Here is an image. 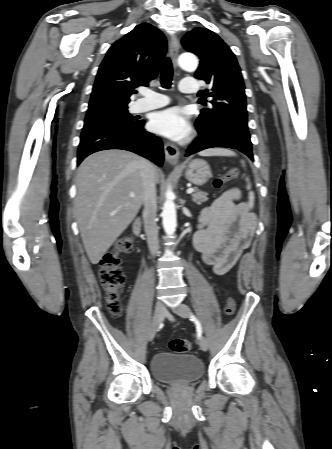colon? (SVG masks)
I'll list each match as a JSON object with an SVG mask.
<instances>
[{
    "label": "colon",
    "instance_id": "colon-1",
    "mask_svg": "<svg viewBox=\"0 0 332 449\" xmlns=\"http://www.w3.org/2000/svg\"><path fill=\"white\" fill-rule=\"evenodd\" d=\"M240 178L239 170L232 168L224 175L216 178L213 182L216 188L223 187L227 182L235 181ZM133 246L132 238L129 236L121 237L112 252L105 254L100 262L99 279L105 290L109 311L118 315L121 310L120 294L125 282V276L121 269L120 254L131 251ZM225 314L233 315L235 311V301L232 297L227 298L225 305ZM169 348L173 353H187L191 348V343L187 339L176 338L169 342Z\"/></svg>",
    "mask_w": 332,
    "mask_h": 449
}]
</instances>
